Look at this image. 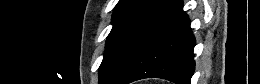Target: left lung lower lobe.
<instances>
[{
  "instance_id": "obj_1",
  "label": "left lung lower lobe",
  "mask_w": 260,
  "mask_h": 84,
  "mask_svg": "<svg viewBox=\"0 0 260 84\" xmlns=\"http://www.w3.org/2000/svg\"><path fill=\"white\" fill-rule=\"evenodd\" d=\"M194 46L182 0H160L124 46L103 84L144 78L190 84Z\"/></svg>"
}]
</instances>
